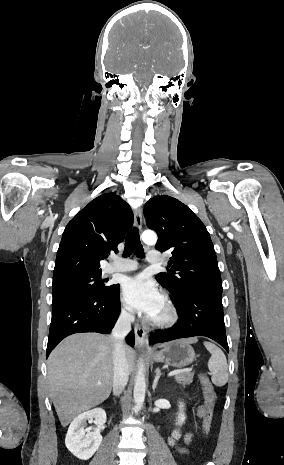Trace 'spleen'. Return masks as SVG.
I'll return each instance as SVG.
<instances>
[{
    "label": "spleen",
    "instance_id": "1",
    "mask_svg": "<svg viewBox=\"0 0 284 465\" xmlns=\"http://www.w3.org/2000/svg\"><path fill=\"white\" fill-rule=\"evenodd\" d=\"M207 351H209L211 357L208 361V369L211 371V381L216 387H223L228 381V365L226 357L216 345L213 343H204Z\"/></svg>",
    "mask_w": 284,
    "mask_h": 465
}]
</instances>
